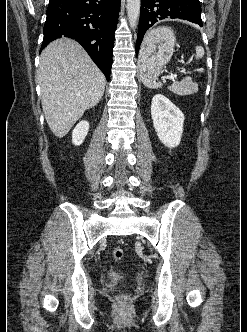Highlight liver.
<instances>
[{"label":"liver","mask_w":247,"mask_h":332,"mask_svg":"<svg viewBox=\"0 0 247 332\" xmlns=\"http://www.w3.org/2000/svg\"><path fill=\"white\" fill-rule=\"evenodd\" d=\"M37 80L45 119L58 138L99 103L106 85L88 54L69 38L57 39L42 51Z\"/></svg>","instance_id":"1"}]
</instances>
